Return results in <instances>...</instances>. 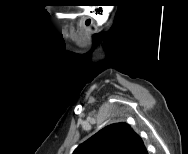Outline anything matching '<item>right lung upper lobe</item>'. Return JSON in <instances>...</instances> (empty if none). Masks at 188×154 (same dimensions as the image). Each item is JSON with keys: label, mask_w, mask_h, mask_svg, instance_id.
Segmentation results:
<instances>
[{"label": "right lung upper lobe", "mask_w": 188, "mask_h": 154, "mask_svg": "<svg viewBox=\"0 0 188 154\" xmlns=\"http://www.w3.org/2000/svg\"><path fill=\"white\" fill-rule=\"evenodd\" d=\"M73 154H148L141 137L127 123L111 124L84 143Z\"/></svg>", "instance_id": "cb5924a9"}]
</instances>
